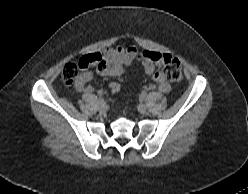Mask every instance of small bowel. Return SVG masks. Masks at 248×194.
Segmentation results:
<instances>
[{
  "instance_id": "obj_1",
  "label": "small bowel",
  "mask_w": 248,
  "mask_h": 194,
  "mask_svg": "<svg viewBox=\"0 0 248 194\" xmlns=\"http://www.w3.org/2000/svg\"><path fill=\"white\" fill-rule=\"evenodd\" d=\"M155 54L157 53L149 50L139 51L134 46L107 48L102 52L93 53L92 55L97 59L95 63L97 65L96 71L81 73L75 88L79 92L92 91L93 88L88 83L94 78L95 73L103 76L117 77L124 73L125 66L137 61L141 63L147 74L152 75L155 81V84L145 85L144 89L152 90L156 88L162 93H168L171 86L162 71L157 69L156 62L153 59Z\"/></svg>"
}]
</instances>
